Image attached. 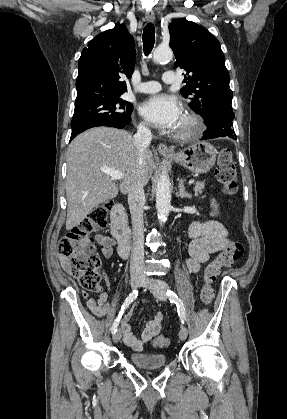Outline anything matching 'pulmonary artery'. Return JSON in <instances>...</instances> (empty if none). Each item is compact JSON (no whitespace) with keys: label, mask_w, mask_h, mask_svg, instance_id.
I'll list each match as a JSON object with an SVG mask.
<instances>
[{"label":"pulmonary artery","mask_w":287,"mask_h":419,"mask_svg":"<svg viewBox=\"0 0 287 419\" xmlns=\"http://www.w3.org/2000/svg\"><path fill=\"white\" fill-rule=\"evenodd\" d=\"M163 82L165 84L175 83V74L173 71H166L163 74ZM161 89V84L156 81L143 82L138 86V90L142 93H155Z\"/></svg>","instance_id":"e3ab8cb5"}]
</instances>
